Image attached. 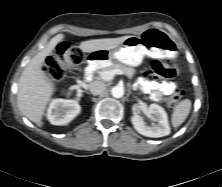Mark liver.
Instances as JSON below:
<instances>
[{"mask_svg":"<svg viewBox=\"0 0 222 187\" xmlns=\"http://www.w3.org/2000/svg\"><path fill=\"white\" fill-rule=\"evenodd\" d=\"M128 37L93 39L81 42L82 52H94L101 49L111 50L122 44ZM63 34L53 37L43 50L37 53L22 72L18 84L17 104L24 116L34 123H40L45 108L54 93L53 83L42 70L46 57L62 41Z\"/></svg>","mask_w":222,"mask_h":187,"instance_id":"1","label":"liver"}]
</instances>
